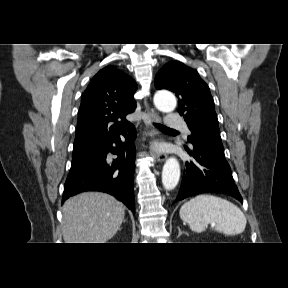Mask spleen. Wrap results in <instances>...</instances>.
<instances>
[{
    "mask_svg": "<svg viewBox=\"0 0 288 288\" xmlns=\"http://www.w3.org/2000/svg\"><path fill=\"white\" fill-rule=\"evenodd\" d=\"M180 218L193 232L205 231L208 224L227 236L240 234L246 227V217L233 203L214 195H198L184 203L179 211Z\"/></svg>",
    "mask_w": 288,
    "mask_h": 288,
    "instance_id": "obj_1",
    "label": "spleen"
}]
</instances>
